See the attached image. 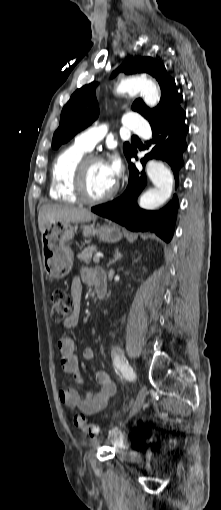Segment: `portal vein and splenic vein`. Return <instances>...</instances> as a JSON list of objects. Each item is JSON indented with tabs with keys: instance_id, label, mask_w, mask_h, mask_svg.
<instances>
[{
	"instance_id": "obj_1",
	"label": "portal vein and splenic vein",
	"mask_w": 221,
	"mask_h": 510,
	"mask_svg": "<svg viewBox=\"0 0 221 510\" xmlns=\"http://www.w3.org/2000/svg\"><path fill=\"white\" fill-rule=\"evenodd\" d=\"M100 258H101V255L100 254H96L94 257H93V261L95 263H99L100 262Z\"/></svg>"
}]
</instances>
